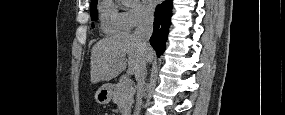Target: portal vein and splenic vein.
Returning a JSON list of instances; mask_svg holds the SVG:
<instances>
[{"label":"portal vein and splenic vein","instance_id":"1","mask_svg":"<svg viewBox=\"0 0 285 115\" xmlns=\"http://www.w3.org/2000/svg\"><path fill=\"white\" fill-rule=\"evenodd\" d=\"M123 84H124L125 86L131 85V80L128 79V78H126V79L123 81Z\"/></svg>","mask_w":285,"mask_h":115}]
</instances>
